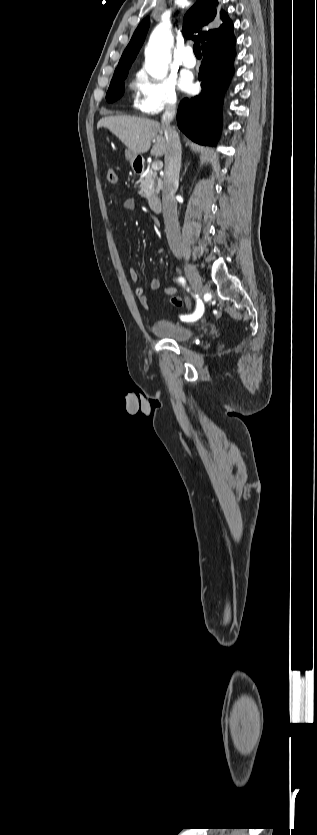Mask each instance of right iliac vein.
<instances>
[{
	"label": "right iliac vein",
	"mask_w": 317,
	"mask_h": 835,
	"mask_svg": "<svg viewBox=\"0 0 317 835\" xmlns=\"http://www.w3.org/2000/svg\"><path fill=\"white\" fill-rule=\"evenodd\" d=\"M184 269L194 292L196 295L201 296L204 293V287L197 269L191 264H185Z\"/></svg>",
	"instance_id": "1"
}]
</instances>
